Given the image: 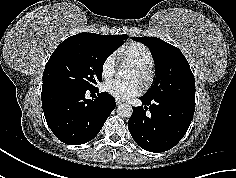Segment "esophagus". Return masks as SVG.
<instances>
[{
  "mask_svg": "<svg viewBox=\"0 0 236 178\" xmlns=\"http://www.w3.org/2000/svg\"><path fill=\"white\" fill-rule=\"evenodd\" d=\"M121 103H122V101L116 100V105H119V104H121Z\"/></svg>",
  "mask_w": 236,
  "mask_h": 178,
  "instance_id": "esophagus-1",
  "label": "esophagus"
}]
</instances>
